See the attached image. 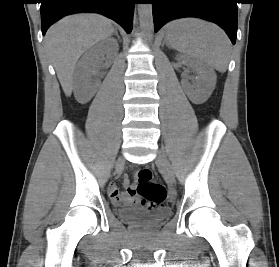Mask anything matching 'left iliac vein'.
<instances>
[{
    "instance_id": "4c4485c4",
    "label": "left iliac vein",
    "mask_w": 279,
    "mask_h": 267,
    "mask_svg": "<svg viewBox=\"0 0 279 267\" xmlns=\"http://www.w3.org/2000/svg\"><path fill=\"white\" fill-rule=\"evenodd\" d=\"M160 165L166 179L170 184L174 182V172L172 166L163 151H159L156 159Z\"/></svg>"
}]
</instances>
